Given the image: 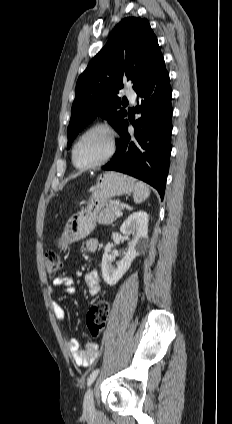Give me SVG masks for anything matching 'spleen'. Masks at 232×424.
Masks as SVG:
<instances>
[{
	"label": "spleen",
	"mask_w": 232,
	"mask_h": 424,
	"mask_svg": "<svg viewBox=\"0 0 232 424\" xmlns=\"http://www.w3.org/2000/svg\"><path fill=\"white\" fill-rule=\"evenodd\" d=\"M150 195L149 187L143 182H136L133 189V199L135 203L145 201Z\"/></svg>",
	"instance_id": "spleen-1"
}]
</instances>
